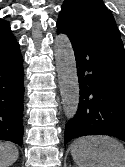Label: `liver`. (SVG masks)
<instances>
[{
    "label": "liver",
    "mask_w": 125,
    "mask_h": 167,
    "mask_svg": "<svg viewBox=\"0 0 125 167\" xmlns=\"http://www.w3.org/2000/svg\"><path fill=\"white\" fill-rule=\"evenodd\" d=\"M19 156L18 148L11 142L0 141V167H8L16 162Z\"/></svg>",
    "instance_id": "6515ba94"
}]
</instances>
